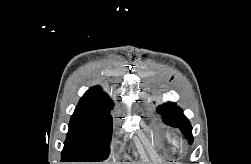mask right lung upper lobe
Segmentation results:
<instances>
[{
    "instance_id": "right-lung-upper-lobe-1",
    "label": "right lung upper lobe",
    "mask_w": 251,
    "mask_h": 164,
    "mask_svg": "<svg viewBox=\"0 0 251 164\" xmlns=\"http://www.w3.org/2000/svg\"><path fill=\"white\" fill-rule=\"evenodd\" d=\"M79 104L95 107H112L113 103L110 97L102 92L101 88L95 86L89 89L79 101Z\"/></svg>"
}]
</instances>
